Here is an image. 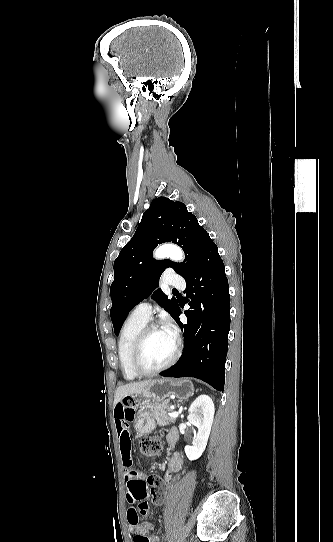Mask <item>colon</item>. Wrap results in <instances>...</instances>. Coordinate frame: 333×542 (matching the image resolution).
Masks as SVG:
<instances>
[{"instance_id":"5ec220e1","label":"colon","mask_w":333,"mask_h":542,"mask_svg":"<svg viewBox=\"0 0 333 542\" xmlns=\"http://www.w3.org/2000/svg\"><path fill=\"white\" fill-rule=\"evenodd\" d=\"M162 450V442L157 437H145L139 443V451L145 458H151ZM137 462L135 459L130 458L126 460L124 473L126 476L135 481L130 482V486L125 490V501L128 505L126 507V523L137 525L140 523L144 516L150 514L151 509L147 505H140L141 501L146 499L149 495V489L152 486L156 488L161 483V478L157 475H150L147 481L140 478V473L136 469ZM145 541L144 539H142Z\"/></svg>"}]
</instances>
